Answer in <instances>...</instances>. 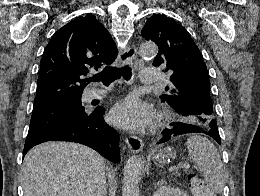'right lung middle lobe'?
Returning <instances> with one entry per match:
<instances>
[{"instance_id":"dd1d6c3e","label":"right lung middle lobe","mask_w":260,"mask_h":196,"mask_svg":"<svg viewBox=\"0 0 260 196\" xmlns=\"http://www.w3.org/2000/svg\"><path fill=\"white\" fill-rule=\"evenodd\" d=\"M90 113L82 106L81 96L35 105L27 136L84 121Z\"/></svg>"}]
</instances>
